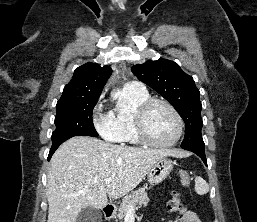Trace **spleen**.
<instances>
[{
  "label": "spleen",
  "instance_id": "3e777b00",
  "mask_svg": "<svg viewBox=\"0 0 257 222\" xmlns=\"http://www.w3.org/2000/svg\"><path fill=\"white\" fill-rule=\"evenodd\" d=\"M195 191L199 195H204L209 191V185L202 177L195 178Z\"/></svg>",
  "mask_w": 257,
  "mask_h": 222
}]
</instances>
